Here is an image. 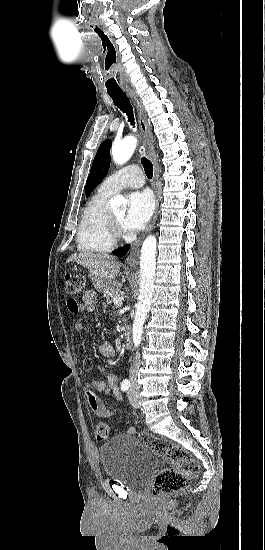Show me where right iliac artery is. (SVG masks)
<instances>
[{
  "label": "right iliac artery",
  "instance_id": "82829eb1",
  "mask_svg": "<svg viewBox=\"0 0 265 550\" xmlns=\"http://www.w3.org/2000/svg\"><path fill=\"white\" fill-rule=\"evenodd\" d=\"M129 387H130V381L127 379L123 380V382L121 383V390L125 392L128 390Z\"/></svg>",
  "mask_w": 265,
  "mask_h": 550
}]
</instances>
